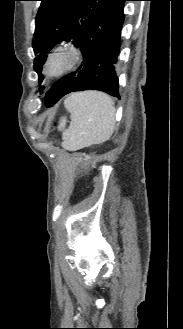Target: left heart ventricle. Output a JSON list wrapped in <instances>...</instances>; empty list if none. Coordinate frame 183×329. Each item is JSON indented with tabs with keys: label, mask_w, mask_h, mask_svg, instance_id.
Instances as JSON below:
<instances>
[{
	"label": "left heart ventricle",
	"mask_w": 183,
	"mask_h": 329,
	"mask_svg": "<svg viewBox=\"0 0 183 329\" xmlns=\"http://www.w3.org/2000/svg\"><path fill=\"white\" fill-rule=\"evenodd\" d=\"M68 62L67 55H60L53 59L50 64V70L55 71L64 67Z\"/></svg>",
	"instance_id": "left-heart-ventricle-1"
}]
</instances>
